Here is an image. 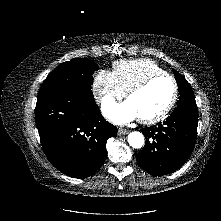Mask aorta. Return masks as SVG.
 Instances as JSON below:
<instances>
[{"label":"aorta","instance_id":"1","mask_svg":"<svg viewBox=\"0 0 221 221\" xmlns=\"http://www.w3.org/2000/svg\"><path fill=\"white\" fill-rule=\"evenodd\" d=\"M128 143L133 148H136V149L141 148L145 143L143 134L138 131L129 133Z\"/></svg>","mask_w":221,"mask_h":221}]
</instances>
